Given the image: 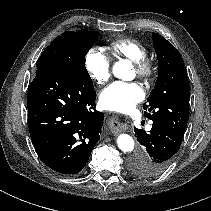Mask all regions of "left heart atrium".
Instances as JSON below:
<instances>
[{
	"instance_id": "39dd6f15",
	"label": "left heart atrium",
	"mask_w": 211,
	"mask_h": 211,
	"mask_svg": "<svg viewBox=\"0 0 211 211\" xmlns=\"http://www.w3.org/2000/svg\"><path fill=\"white\" fill-rule=\"evenodd\" d=\"M145 92L136 82L116 81L100 94L101 106L109 111L126 113L144 99Z\"/></svg>"
}]
</instances>
